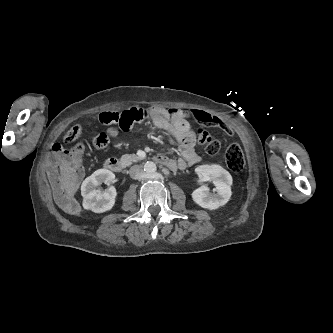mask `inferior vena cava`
Returning <instances> with one entry per match:
<instances>
[{
  "label": "inferior vena cava",
  "instance_id": "obj_1",
  "mask_svg": "<svg viewBox=\"0 0 333 333\" xmlns=\"http://www.w3.org/2000/svg\"><path fill=\"white\" fill-rule=\"evenodd\" d=\"M143 174V170L140 166L134 165L129 170V175L133 179H139Z\"/></svg>",
  "mask_w": 333,
  "mask_h": 333
}]
</instances>
